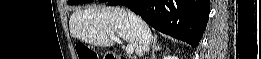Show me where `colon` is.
I'll return each instance as SVG.
<instances>
[{"instance_id": "colon-1", "label": "colon", "mask_w": 261, "mask_h": 59, "mask_svg": "<svg viewBox=\"0 0 261 59\" xmlns=\"http://www.w3.org/2000/svg\"><path fill=\"white\" fill-rule=\"evenodd\" d=\"M77 55L79 59H98L97 53L85 44L77 46Z\"/></svg>"}]
</instances>
